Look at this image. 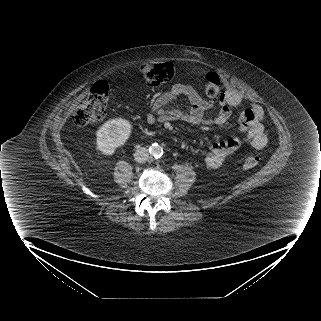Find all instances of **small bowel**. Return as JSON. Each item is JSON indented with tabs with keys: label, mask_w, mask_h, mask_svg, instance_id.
<instances>
[{
	"label": "small bowel",
	"mask_w": 321,
	"mask_h": 321,
	"mask_svg": "<svg viewBox=\"0 0 321 321\" xmlns=\"http://www.w3.org/2000/svg\"><path fill=\"white\" fill-rule=\"evenodd\" d=\"M185 97L191 104L189 112L180 110H166L165 106ZM242 96L236 91L230 90L223 94L219 101V110L216 116L206 118L207 112L212 108L209 100L205 99L192 86L176 84L169 91L159 95L152 103L146 115V122H166L172 120L184 121L192 124L222 125L227 123L234 115L235 110L242 103ZM264 111L259 104H252L242 110L238 116V135L211 144L204 156L205 165L210 169L219 168L226 158L235 152L243 140L255 150L263 149L268 142V135L263 125Z\"/></svg>",
	"instance_id": "1"
}]
</instances>
